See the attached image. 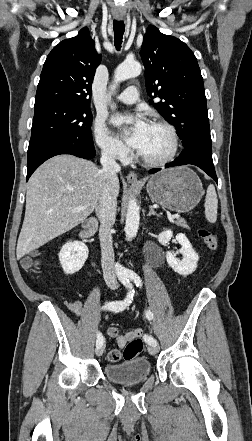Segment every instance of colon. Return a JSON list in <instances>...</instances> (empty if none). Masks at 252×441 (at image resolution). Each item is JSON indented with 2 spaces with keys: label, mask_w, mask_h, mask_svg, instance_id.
<instances>
[{
  "label": "colon",
  "mask_w": 252,
  "mask_h": 441,
  "mask_svg": "<svg viewBox=\"0 0 252 441\" xmlns=\"http://www.w3.org/2000/svg\"><path fill=\"white\" fill-rule=\"evenodd\" d=\"M198 235L200 236V238L203 240V242L205 243V245L209 249L215 250L217 248L218 239L212 231H210L209 229H206V228H200L198 230ZM22 266L26 270H32L37 266V261L35 260V258L32 255L27 256V257L23 258ZM142 350H143V342L138 337V338H135L132 341H130L125 346V348L123 349L122 352L117 349L110 350L107 355V359L110 362L116 363V362L120 361L122 358H124L126 360L134 358L137 355H139Z\"/></svg>",
  "instance_id": "5ec220e1"
}]
</instances>
